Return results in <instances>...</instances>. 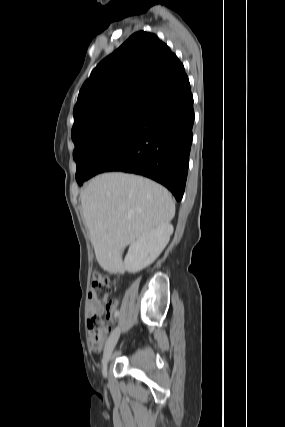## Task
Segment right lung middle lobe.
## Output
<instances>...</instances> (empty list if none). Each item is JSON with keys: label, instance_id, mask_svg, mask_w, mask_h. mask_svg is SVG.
<instances>
[{"label": "right lung middle lobe", "instance_id": "right-lung-middle-lobe-1", "mask_svg": "<svg viewBox=\"0 0 285 427\" xmlns=\"http://www.w3.org/2000/svg\"><path fill=\"white\" fill-rule=\"evenodd\" d=\"M144 105H132L84 124L72 133L76 180H86L101 159L121 140L141 114Z\"/></svg>", "mask_w": 285, "mask_h": 427}]
</instances>
